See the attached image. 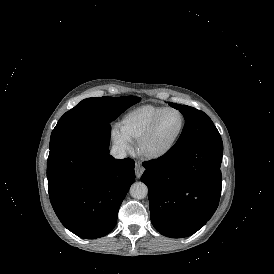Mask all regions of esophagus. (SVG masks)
Instances as JSON below:
<instances>
[{
    "mask_svg": "<svg viewBox=\"0 0 274 274\" xmlns=\"http://www.w3.org/2000/svg\"><path fill=\"white\" fill-rule=\"evenodd\" d=\"M144 170L145 169H144V167L141 164H139V163L135 164V173H136V176L138 178L141 177V175L143 174Z\"/></svg>",
    "mask_w": 274,
    "mask_h": 274,
    "instance_id": "obj_1",
    "label": "esophagus"
}]
</instances>
